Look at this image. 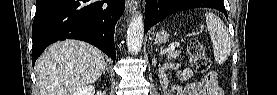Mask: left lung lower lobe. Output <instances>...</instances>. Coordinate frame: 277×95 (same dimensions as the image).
I'll use <instances>...</instances> for the list:
<instances>
[{
    "instance_id": "0a47b994",
    "label": "left lung lower lobe",
    "mask_w": 277,
    "mask_h": 95,
    "mask_svg": "<svg viewBox=\"0 0 277 95\" xmlns=\"http://www.w3.org/2000/svg\"><path fill=\"white\" fill-rule=\"evenodd\" d=\"M180 0H146L144 31L147 32L154 24L163 18L180 10L188 8L179 6ZM199 7H209L217 9L226 15L223 1L220 0H197Z\"/></svg>"
}]
</instances>
